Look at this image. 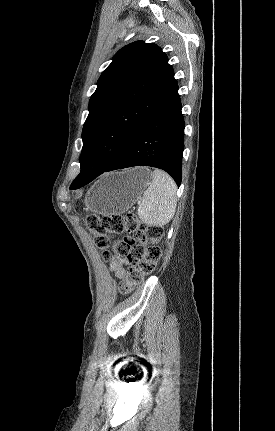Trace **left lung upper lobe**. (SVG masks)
Here are the masks:
<instances>
[{
    "label": "left lung upper lobe",
    "mask_w": 275,
    "mask_h": 431,
    "mask_svg": "<svg viewBox=\"0 0 275 431\" xmlns=\"http://www.w3.org/2000/svg\"><path fill=\"white\" fill-rule=\"evenodd\" d=\"M112 60L89 100L80 173L109 167L176 85L167 55L155 44L133 42Z\"/></svg>",
    "instance_id": "1"
}]
</instances>
